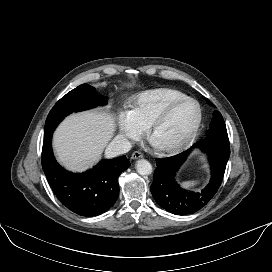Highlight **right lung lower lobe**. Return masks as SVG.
Instances as JSON below:
<instances>
[{"mask_svg":"<svg viewBox=\"0 0 272 272\" xmlns=\"http://www.w3.org/2000/svg\"><path fill=\"white\" fill-rule=\"evenodd\" d=\"M52 133L45 137L42 167L58 200L81 216H97L112 207L119 195L118 177L130 166L123 155L102 160L81 174L65 171L55 160L51 147Z\"/></svg>","mask_w":272,"mask_h":272,"instance_id":"1","label":"right lung lower lobe"}]
</instances>
